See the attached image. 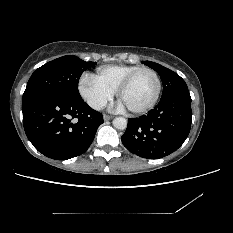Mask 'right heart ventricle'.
<instances>
[{
	"label": "right heart ventricle",
	"instance_id": "right-heart-ventricle-1",
	"mask_svg": "<svg viewBox=\"0 0 233 233\" xmlns=\"http://www.w3.org/2000/svg\"><path fill=\"white\" fill-rule=\"evenodd\" d=\"M143 67L138 65H112L100 68L91 77L100 85L115 93L121 83L133 72Z\"/></svg>",
	"mask_w": 233,
	"mask_h": 233
}]
</instances>
